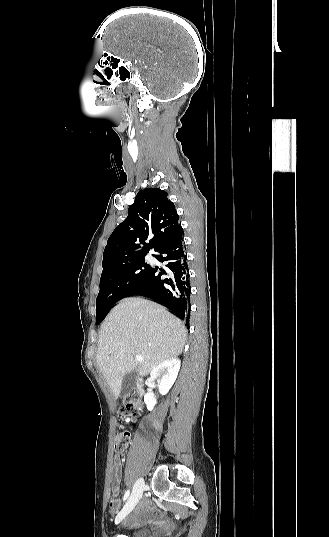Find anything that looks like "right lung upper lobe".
<instances>
[{"label": "right lung upper lobe", "mask_w": 329, "mask_h": 537, "mask_svg": "<svg viewBox=\"0 0 329 537\" xmlns=\"http://www.w3.org/2000/svg\"><path fill=\"white\" fill-rule=\"evenodd\" d=\"M174 204L163 190H140L129 207L127 218L108 239L102 267L125 264L144 257L150 249L157 251L182 228ZM150 243H146L147 238Z\"/></svg>", "instance_id": "1"}]
</instances>
